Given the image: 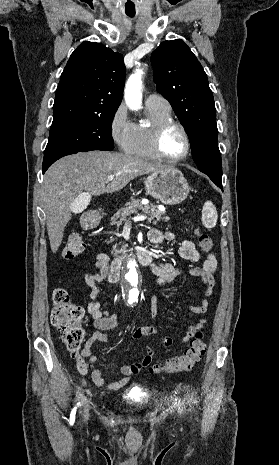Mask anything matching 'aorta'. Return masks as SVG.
Returning a JSON list of instances; mask_svg holds the SVG:
<instances>
[{
	"label": "aorta",
	"instance_id": "762f6f07",
	"mask_svg": "<svg viewBox=\"0 0 279 465\" xmlns=\"http://www.w3.org/2000/svg\"><path fill=\"white\" fill-rule=\"evenodd\" d=\"M142 74L143 71L141 69H137L135 73L129 77L125 86L124 98L126 104L132 110H137L141 107ZM123 279L128 301H137L141 281L138 275V266L135 259L130 258L127 261L123 273Z\"/></svg>",
	"mask_w": 279,
	"mask_h": 465
}]
</instances>
